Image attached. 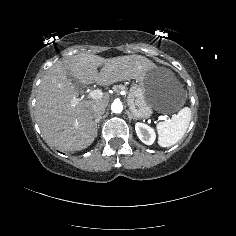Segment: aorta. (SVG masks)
I'll return each mask as SVG.
<instances>
[{
    "mask_svg": "<svg viewBox=\"0 0 236 236\" xmlns=\"http://www.w3.org/2000/svg\"><path fill=\"white\" fill-rule=\"evenodd\" d=\"M111 110L113 113H121L123 110V105L120 101H114L111 105Z\"/></svg>",
    "mask_w": 236,
    "mask_h": 236,
    "instance_id": "1",
    "label": "aorta"
}]
</instances>
